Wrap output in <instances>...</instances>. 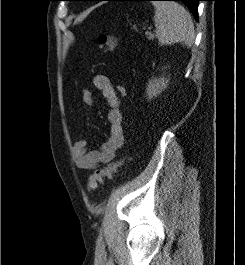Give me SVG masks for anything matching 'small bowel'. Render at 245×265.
<instances>
[{"label":"small bowel","instance_id":"small-bowel-1","mask_svg":"<svg viewBox=\"0 0 245 265\" xmlns=\"http://www.w3.org/2000/svg\"><path fill=\"white\" fill-rule=\"evenodd\" d=\"M94 86L102 93L109 111L107 119L109 122L108 140L101 145L98 150H89L87 141L78 139L72 148V157L76 166L80 169L92 170L100 164L107 163L114 159L117 151L124 144L123 115L120 108V96L112 83L105 75H95L93 77ZM82 101L89 106L95 104L92 92L84 89L81 94Z\"/></svg>","mask_w":245,"mask_h":265}]
</instances>
